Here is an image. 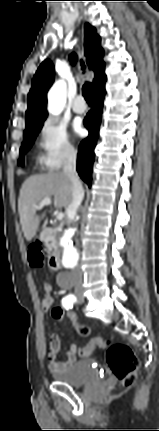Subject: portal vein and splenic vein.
Listing matches in <instances>:
<instances>
[{"mask_svg": "<svg viewBox=\"0 0 159 431\" xmlns=\"http://www.w3.org/2000/svg\"><path fill=\"white\" fill-rule=\"evenodd\" d=\"M51 199L50 198H44L40 203H39V205H37L36 206V209L37 210H41L44 206H48V205H51ZM64 218V214L62 213V212H59L58 214H57V219L58 220H62Z\"/></svg>", "mask_w": 159, "mask_h": 431, "instance_id": "18ae733b", "label": "portal vein and splenic vein"}]
</instances>
